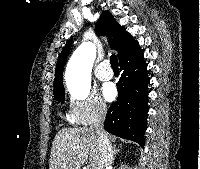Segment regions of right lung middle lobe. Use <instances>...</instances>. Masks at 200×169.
<instances>
[{
    "label": "right lung middle lobe",
    "instance_id": "right-lung-middle-lobe-1",
    "mask_svg": "<svg viewBox=\"0 0 200 169\" xmlns=\"http://www.w3.org/2000/svg\"><path fill=\"white\" fill-rule=\"evenodd\" d=\"M54 96L56 97V99L58 101H64V96H65V93L64 92H58V93H54Z\"/></svg>",
    "mask_w": 200,
    "mask_h": 169
}]
</instances>
